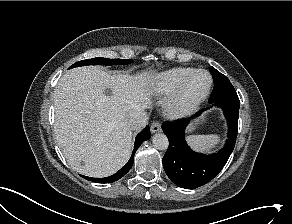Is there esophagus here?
<instances>
[{
  "mask_svg": "<svg viewBox=\"0 0 292 224\" xmlns=\"http://www.w3.org/2000/svg\"><path fill=\"white\" fill-rule=\"evenodd\" d=\"M161 131V125L159 122L157 121H154L152 124H151V132L152 133H158Z\"/></svg>",
  "mask_w": 292,
  "mask_h": 224,
  "instance_id": "esophagus-1",
  "label": "esophagus"
}]
</instances>
